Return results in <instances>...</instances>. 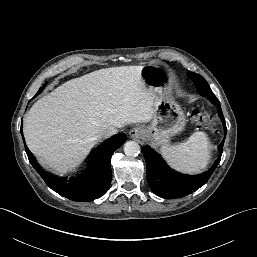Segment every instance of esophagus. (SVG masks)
Returning <instances> with one entry per match:
<instances>
[{
	"label": "esophagus",
	"mask_w": 257,
	"mask_h": 257,
	"mask_svg": "<svg viewBox=\"0 0 257 257\" xmlns=\"http://www.w3.org/2000/svg\"><path fill=\"white\" fill-rule=\"evenodd\" d=\"M130 137L139 143H143L145 139L144 131L141 127H134L129 132Z\"/></svg>",
	"instance_id": "obj_1"
}]
</instances>
